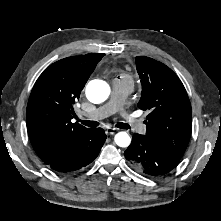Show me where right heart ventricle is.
Instances as JSON below:
<instances>
[{"label":"right heart ventricle","instance_id":"1","mask_svg":"<svg viewBox=\"0 0 221 221\" xmlns=\"http://www.w3.org/2000/svg\"><path fill=\"white\" fill-rule=\"evenodd\" d=\"M115 80H118V81H126V82H130L132 83V79L129 75L127 74H120L118 78H116Z\"/></svg>","mask_w":221,"mask_h":221}]
</instances>
